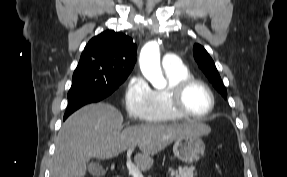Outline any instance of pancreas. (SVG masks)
<instances>
[{"label": "pancreas", "instance_id": "1", "mask_svg": "<svg viewBox=\"0 0 287 177\" xmlns=\"http://www.w3.org/2000/svg\"><path fill=\"white\" fill-rule=\"evenodd\" d=\"M171 177H194L195 167H179L178 170H169Z\"/></svg>", "mask_w": 287, "mask_h": 177}]
</instances>
